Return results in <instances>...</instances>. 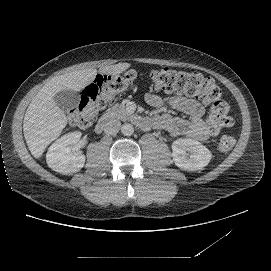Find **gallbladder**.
Wrapping results in <instances>:
<instances>
[{"instance_id": "gallbladder-1", "label": "gallbladder", "mask_w": 271, "mask_h": 271, "mask_svg": "<svg viewBox=\"0 0 271 271\" xmlns=\"http://www.w3.org/2000/svg\"><path fill=\"white\" fill-rule=\"evenodd\" d=\"M79 96L76 92L63 90L56 94L55 103L61 109H71L78 105Z\"/></svg>"}]
</instances>
